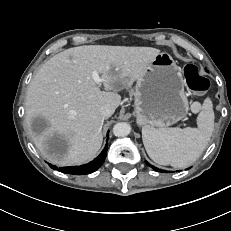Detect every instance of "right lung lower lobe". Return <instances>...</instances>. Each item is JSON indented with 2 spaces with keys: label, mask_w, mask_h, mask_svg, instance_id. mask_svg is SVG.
I'll return each instance as SVG.
<instances>
[{
  "label": "right lung lower lobe",
  "mask_w": 231,
  "mask_h": 231,
  "mask_svg": "<svg viewBox=\"0 0 231 231\" xmlns=\"http://www.w3.org/2000/svg\"><path fill=\"white\" fill-rule=\"evenodd\" d=\"M107 150H108V143H106L104 150L101 152V154L96 159H94L88 164H84L81 166L60 167V168L52 164H49V166L55 170H58L60 172L67 173V174H75V175L89 174V173L96 171L98 168H100V166L103 164L107 156Z\"/></svg>",
  "instance_id": "98d812e1"
}]
</instances>
